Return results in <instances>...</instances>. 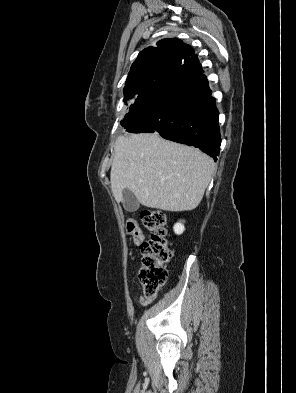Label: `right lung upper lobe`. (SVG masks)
Masks as SVG:
<instances>
[{
    "mask_svg": "<svg viewBox=\"0 0 296 393\" xmlns=\"http://www.w3.org/2000/svg\"><path fill=\"white\" fill-rule=\"evenodd\" d=\"M198 62L193 49L176 38L163 39L157 47H148L138 54L128 74L124 95L127 100L138 94L151 80L171 76L180 67Z\"/></svg>",
    "mask_w": 296,
    "mask_h": 393,
    "instance_id": "1",
    "label": "right lung upper lobe"
}]
</instances>
